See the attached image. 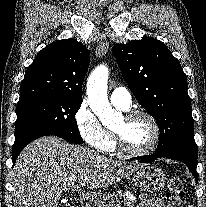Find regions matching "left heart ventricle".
Returning a JSON list of instances; mask_svg holds the SVG:
<instances>
[{"label":"left heart ventricle","mask_w":206,"mask_h":207,"mask_svg":"<svg viewBox=\"0 0 206 207\" xmlns=\"http://www.w3.org/2000/svg\"><path fill=\"white\" fill-rule=\"evenodd\" d=\"M114 130L121 134L125 145L131 150L146 148L153 136L151 124L145 118H137L128 122L122 118Z\"/></svg>","instance_id":"b2bd125f"}]
</instances>
